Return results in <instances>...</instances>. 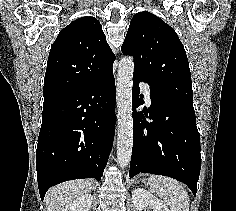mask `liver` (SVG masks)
I'll return each mask as SVG.
<instances>
[{
    "instance_id": "obj_1",
    "label": "liver",
    "mask_w": 236,
    "mask_h": 211,
    "mask_svg": "<svg viewBox=\"0 0 236 211\" xmlns=\"http://www.w3.org/2000/svg\"><path fill=\"white\" fill-rule=\"evenodd\" d=\"M92 190L89 180H72L61 183L48 190L45 195L47 211H62L63 208L75 199Z\"/></svg>"
}]
</instances>
